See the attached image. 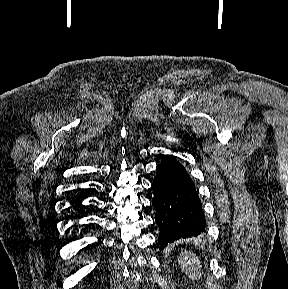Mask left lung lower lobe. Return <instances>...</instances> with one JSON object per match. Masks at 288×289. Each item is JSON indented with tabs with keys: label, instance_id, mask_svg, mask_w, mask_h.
<instances>
[{
	"label": "left lung lower lobe",
	"instance_id": "left-lung-lower-lobe-1",
	"mask_svg": "<svg viewBox=\"0 0 288 289\" xmlns=\"http://www.w3.org/2000/svg\"><path fill=\"white\" fill-rule=\"evenodd\" d=\"M156 172L152 205L160 228L159 243L164 249L175 240L202 233L205 216L193 181L177 160L167 155Z\"/></svg>",
	"mask_w": 288,
	"mask_h": 289
}]
</instances>
